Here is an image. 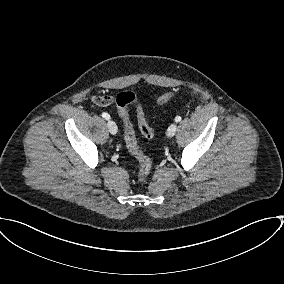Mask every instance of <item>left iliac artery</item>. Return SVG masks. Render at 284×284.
<instances>
[{"label":"left iliac artery","mask_w":284,"mask_h":284,"mask_svg":"<svg viewBox=\"0 0 284 284\" xmlns=\"http://www.w3.org/2000/svg\"><path fill=\"white\" fill-rule=\"evenodd\" d=\"M175 121H176V122H180V121H181V117H180V116H176V117H175Z\"/></svg>","instance_id":"1"}]
</instances>
